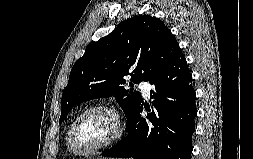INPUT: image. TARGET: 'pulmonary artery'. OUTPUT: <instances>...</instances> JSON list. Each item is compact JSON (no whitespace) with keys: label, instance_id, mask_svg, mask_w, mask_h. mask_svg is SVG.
<instances>
[{"label":"pulmonary artery","instance_id":"pulmonary-artery-1","mask_svg":"<svg viewBox=\"0 0 253 159\" xmlns=\"http://www.w3.org/2000/svg\"><path fill=\"white\" fill-rule=\"evenodd\" d=\"M137 87L141 90V92L143 93L144 97L148 98L150 95V84L147 80H141Z\"/></svg>","mask_w":253,"mask_h":159}]
</instances>
